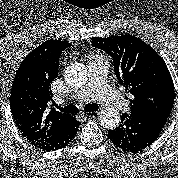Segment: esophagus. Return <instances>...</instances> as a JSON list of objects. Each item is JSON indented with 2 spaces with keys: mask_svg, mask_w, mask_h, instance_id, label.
<instances>
[{
  "mask_svg": "<svg viewBox=\"0 0 178 178\" xmlns=\"http://www.w3.org/2000/svg\"><path fill=\"white\" fill-rule=\"evenodd\" d=\"M99 114H100L99 111L86 112V113L82 112L80 116L83 117V118H87V117H97Z\"/></svg>",
  "mask_w": 178,
  "mask_h": 178,
  "instance_id": "esophagus-1",
  "label": "esophagus"
}]
</instances>
